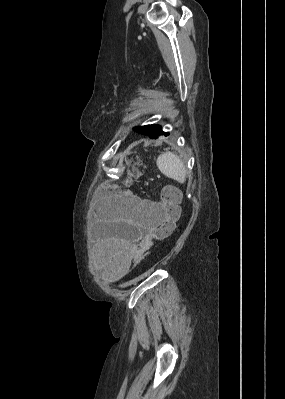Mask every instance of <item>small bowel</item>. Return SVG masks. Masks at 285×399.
Instances as JSON below:
<instances>
[{"instance_id": "c3829d8e", "label": "small bowel", "mask_w": 285, "mask_h": 399, "mask_svg": "<svg viewBox=\"0 0 285 399\" xmlns=\"http://www.w3.org/2000/svg\"><path fill=\"white\" fill-rule=\"evenodd\" d=\"M178 194L176 188H171ZM161 201H149L134 196L131 205L127 207L122 231L123 239L118 245L112 261V271L117 275L125 274L134 260V249L145 238L152 236L155 230L164 222L165 215L159 209Z\"/></svg>"}]
</instances>
